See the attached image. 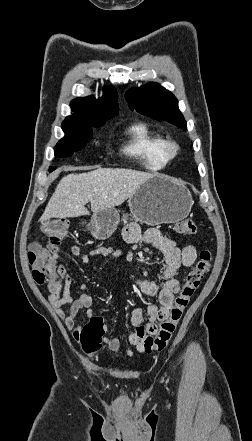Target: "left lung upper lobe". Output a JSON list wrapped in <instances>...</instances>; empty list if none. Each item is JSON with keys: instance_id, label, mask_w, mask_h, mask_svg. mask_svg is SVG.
<instances>
[{"instance_id": "left-lung-upper-lobe-1", "label": "left lung upper lobe", "mask_w": 252, "mask_h": 441, "mask_svg": "<svg viewBox=\"0 0 252 441\" xmlns=\"http://www.w3.org/2000/svg\"><path fill=\"white\" fill-rule=\"evenodd\" d=\"M130 109L176 126L187 128L175 96L157 83L131 89L126 94Z\"/></svg>"}]
</instances>
